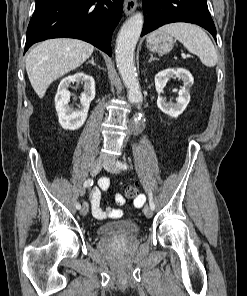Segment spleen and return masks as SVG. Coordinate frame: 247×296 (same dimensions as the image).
I'll return each instance as SVG.
<instances>
[{"instance_id": "spleen-1", "label": "spleen", "mask_w": 247, "mask_h": 296, "mask_svg": "<svg viewBox=\"0 0 247 296\" xmlns=\"http://www.w3.org/2000/svg\"><path fill=\"white\" fill-rule=\"evenodd\" d=\"M158 31L175 37L189 52L197 55L205 66L216 65L217 51L208 35L197 25L177 22L164 25Z\"/></svg>"}]
</instances>
